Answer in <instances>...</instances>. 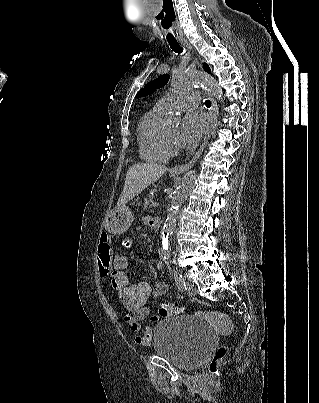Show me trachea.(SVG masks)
Listing matches in <instances>:
<instances>
[{
	"mask_svg": "<svg viewBox=\"0 0 319 403\" xmlns=\"http://www.w3.org/2000/svg\"><path fill=\"white\" fill-rule=\"evenodd\" d=\"M162 27L166 32V40L169 43L171 49L178 54L182 53L183 48L180 46V44L178 43V41L174 36V33L171 31V22L170 21L162 22ZM205 105L207 108H209L211 106L210 100H206Z\"/></svg>",
	"mask_w": 319,
	"mask_h": 403,
	"instance_id": "3493384b",
	"label": "trachea"
}]
</instances>
